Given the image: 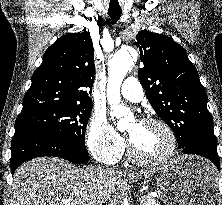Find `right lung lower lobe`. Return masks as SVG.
<instances>
[{"instance_id":"1","label":"right lung lower lobe","mask_w":222,"mask_h":205,"mask_svg":"<svg viewBox=\"0 0 222 205\" xmlns=\"http://www.w3.org/2000/svg\"><path fill=\"white\" fill-rule=\"evenodd\" d=\"M40 156L60 157L75 164L89 160L87 149L75 142L43 131H15L11 146V173L23 162Z\"/></svg>"}]
</instances>
